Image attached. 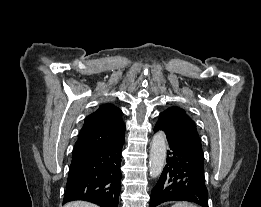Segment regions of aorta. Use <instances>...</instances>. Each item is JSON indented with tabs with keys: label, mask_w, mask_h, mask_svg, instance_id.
<instances>
[{
	"label": "aorta",
	"mask_w": 261,
	"mask_h": 207,
	"mask_svg": "<svg viewBox=\"0 0 261 207\" xmlns=\"http://www.w3.org/2000/svg\"><path fill=\"white\" fill-rule=\"evenodd\" d=\"M166 161V137L163 132L154 134L150 149L149 172L152 178L160 176Z\"/></svg>",
	"instance_id": "1"
}]
</instances>
